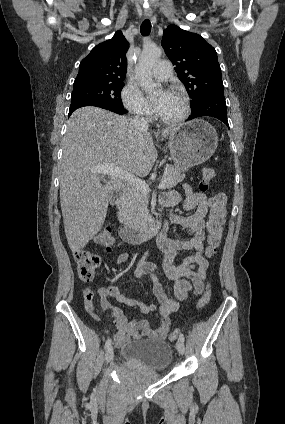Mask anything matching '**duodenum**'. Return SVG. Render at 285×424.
<instances>
[{
  "label": "duodenum",
  "mask_w": 285,
  "mask_h": 424,
  "mask_svg": "<svg viewBox=\"0 0 285 424\" xmlns=\"http://www.w3.org/2000/svg\"><path fill=\"white\" fill-rule=\"evenodd\" d=\"M119 191L123 190V186L119 185ZM165 224L160 220H156L150 225H142L138 227L121 226L118 230L120 238L128 244H138L151 239L154 236L163 235Z\"/></svg>",
  "instance_id": "duodenum-1"
}]
</instances>
